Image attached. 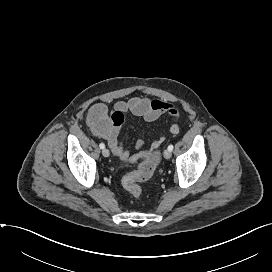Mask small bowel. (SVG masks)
Masks as SVG:
<instances>
[{
    "label": "small bowel",
    "mask_w": 272,
    "mask_h": 272,
    "mask_svg": "<svg viewBox=\"0 0 272 272\" xmlns=\"http://www.w3.org/2000/svg\"><path fill=\"white\" fill-rule=\"evenodd\" d=\"M116 111L123 114H132L142 118L146 122H154L162 115H168L173 118V123L170 126L172 134H178L180 127L178 124L179 113L176 107L169 102L148 99L145 97H133L127 101H118L115 105ZM119 127H109L103 131H97L96 134L105 139L111 148L112 152L122 161L136 162L138 160H151L153 157V150L158 148L163 142L164 138L159 137L151 144L150 149L145 148V142L141 139L136 141V153L131 154L119 140Z\"/></svg>",
    "instance_id": "obj_1"
}]
</instances>
